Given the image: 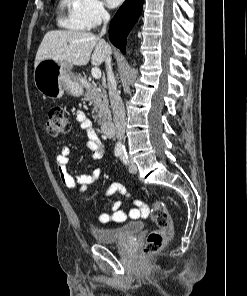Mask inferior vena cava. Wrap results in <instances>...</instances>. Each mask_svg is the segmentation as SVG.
<instances>
[{
  "mask_svg": "<svg viewBox=\"0 0 247 296\" xmlns=\"http://www.w3.org/2000/svg\"><path fill=\"white\" fill-rule=\"evenodd\" d=\"M102 18L104 20V27L101 31V34H104L106 31V24L110 19V15L106 10H102ZM106 63V72L108 80V90L109 98L111 103V108L113 111V119L116 130V137L119 141L125 138V128H126V119H125V108L120 97V94L117 90V83L114 78V74L111 66V57L108 55L105 60Z\"/></svg>",
  "mask_w": 247,
  "mask_h": 296,
  "instance_id": "602c4592",
  "label": "inferior vena cava"
}]
</instances>
